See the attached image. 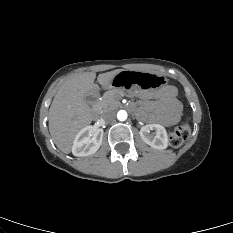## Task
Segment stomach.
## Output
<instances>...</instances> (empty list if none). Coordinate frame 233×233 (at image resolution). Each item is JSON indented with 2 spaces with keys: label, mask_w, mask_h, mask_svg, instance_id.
Listing matches in <instances>:
<instances>
[{
  "label": "stomach",
  "mask_w": 233,
  "mask_h": 233,
  "mask_svg": "<svg viewBox=\"0 0 233 233\" xmlns=\"http://www.w3.org/2000/svg\"><path fill=\"white\" fill-rule=\"evenodd\" d=\"M166 79L162 75L142 71H121L108 80V87L112 91L134 89L137 91H148L163 86Z\"/></svg>",
  "instance_id": "obj_1"
}]
</instances>
